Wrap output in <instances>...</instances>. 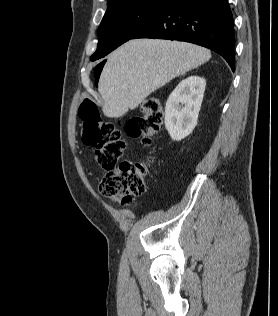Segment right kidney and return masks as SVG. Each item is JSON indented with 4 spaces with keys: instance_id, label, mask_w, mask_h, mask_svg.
<instances>
[{
    "instance_id": "right-kidney-1",
    "label": "right kidney",
    "mask_w": 278,
    "mask_h": 316,
    "mask_svg": "<svg viewBox=\"0 0 278 316\" xmlns=\"http://www.w3.org/2000/svg\"><path fill=\"white\" fill-rule=\"evenodd\" d=\"M206 80L190 76L170 94L165 107V127L174 141L187 137L197 124Z\"/></svg>"
}]
</instances>
